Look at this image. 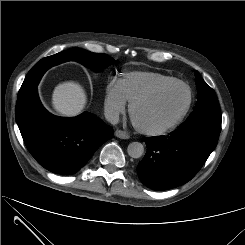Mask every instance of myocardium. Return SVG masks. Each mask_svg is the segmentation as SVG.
Masks as SVG:
<instances>
[{
  "mask_svg": "<svg viewBox=\"0 0 245 245\" xmlns=\"http://www.w3.org/2000/svg\"><path fill=\"white\" fill-rule=\"evenodd\" d=\"M177 84L182 85L187 89L188 99H187V103H186L184 109L181 111V113L178 115V117L173 122H171L170 124H168L165 127L158 128V129L144 128V127L140 126L138 123H136V121L134 119V113H135V110L137 109L138 106L154 99L156 96H158L161 92H163L167 88H169L173 85H177ZM192 102H193V93H192L190 86L181 80L174 79V80L168 81L166 83H163V84L153 88L149 92H147V93L139 96L138 98H136L130 104L129 114H130V118L132 120L134 127L140 133L148 135V136H154V137L163 136V135H166V134L172 132L181 124V122L184 120V118L188 114V112L192 106Z\"/></svg>",
  "mask_w": 245,
  "mask_h": 245,
  "instance_id": "obj_1",
  "label": "myocardium"
}]
</instances>
